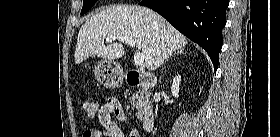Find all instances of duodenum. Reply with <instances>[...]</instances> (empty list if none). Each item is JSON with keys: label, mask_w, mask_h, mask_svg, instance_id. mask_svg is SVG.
Instances as JSON below:
<instances>
[{"label": "duodenum", "mask_w": 280, "mask_h": 137, "mask_svg": "<svg viewBox=\"0 0 280 137\" xmlns=\"http://www.w3.org/2000/svg\"><path fill=\"white\" fill-rule=\"evenodd\" d=\"M125 82L130 87L145 86L147 88H153L157 84V80L154 77L148 76L137 70L129 71L125 75ZM155 125V116L152 113L147 114L143 120V128L146 131L153 130Z\"/></svg>", "instance_id": "1"}]
</instances>
